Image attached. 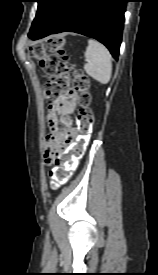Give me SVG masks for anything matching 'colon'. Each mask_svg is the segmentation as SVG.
I'll return each mask as SVG.
<instances>
[{
	"label": "colon",
	"mask_w": 158,
	"mask_h": 275,
	"mask_svg": "<svg viewBox=\"0 0 158 275\" xmlns=\"http://www.w3.org/2000/svg\"><path fill=\"white\" fill-rule=\"evenodd\" d=\"M64 46L65 39L61 36H52L44 43L29 46L30 55L39 61L42 70L49 75L44 88L47 100L53 103L62 98L65 92L73 91L80 105L77 115L79 137L70 145L68 151L55 157V165L49 171V183L53 188L65 184L70 179L84 154L93 130L90 80L71 64Z\"/></svg>",
	"instance_id": "1"
}]
</instances>
